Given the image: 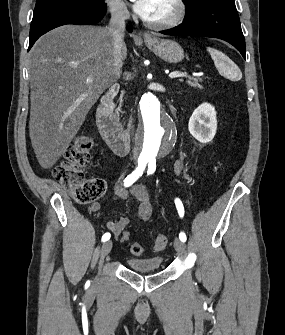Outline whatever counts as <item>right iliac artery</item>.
<instances>
[{
	"mask_svg": "<svg viewBox=\"0 0 285 335\" xmlns=\"http://www.w3.org/2000/svg\"><path fill=\"white\" fill-rule=\"evenodd\" d=\"M147 162H140L138 163V167L130 174L128 175L124 180V186L129 187L131 186L140 176H142L143 171L145 170ZM110 233H105L102 236V242H105L110 239Z\"/></svg>",
	"mask_w": 285,
	"mask_h": 335,
	"instance_id": "right-iliac-artery-1",
	"label": "right iliac artery"
}]
</instances>
